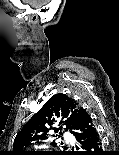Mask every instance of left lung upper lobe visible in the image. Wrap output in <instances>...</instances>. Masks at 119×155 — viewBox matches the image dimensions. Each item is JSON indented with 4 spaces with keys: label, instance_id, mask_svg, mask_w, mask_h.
Wrapping results in <instances>:
<instances>
[{
    "label": "left lung upper lobe",
    "instance_id": "1",
    "mask_svg": "<svg viewBox=\"0 0 119 155\" xmlns=\"http://www.w3.org/2000/svg\"><path fill=\"white\" fill-rule=\"evenodd\" d=\"M78 107L74 100L65 94L53 95L17 134L12 155H72L69 151L35 152L23 149L47 140L51 129L61 134L64 126L73 134ZM53 146H56L54 142Z\"/></svg>",
    "mask_w": 119,
    "mask_h": 155
}]
</instances>
